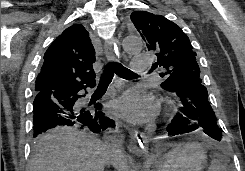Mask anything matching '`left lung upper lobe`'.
I'll return each mask as SVG.
<instances>
[{"instance_id":"5c2ea615","label":"left lung upper lobe","mask_w":245,"mask_h":171,"mask_svg":"<svg viewBox=\"0 0 245 171\" xmlns=\"http://www.w3.org/2000/svg\"><path fill=\"white\" fill-rule=\"evenodd\" d=\"M130 17L148 50L156 53L157 62L153 67L167 70L160 73L164 78L163 89L171 92L184 82L202 83L196 53L188 36L178 25L162 15L144 11H135Z\"/></svg>"}]
</instances>
